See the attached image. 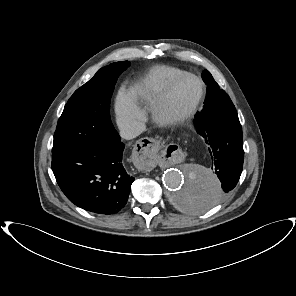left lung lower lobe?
<instances>
[{
    "label": "left lung lower lobe",
    "mask_w": 296,
    "mask_h": 296,
    "mask_svg": "<svg viewBox=\"0 0 296 296\" xmlns=\"http://www.w3.org/2000/svg\"><path fill=\"white\" fill-rule=\"evenodd\" d=\"M194 123L211 157L212 170L221 181L216 191L192 182L183 193V208L200 212L217 204L238 183L243 168V134L235 106L226 93L204 105L196 113Z\"/></svg>",
    "instance_id": "1"
}]
</instances>
